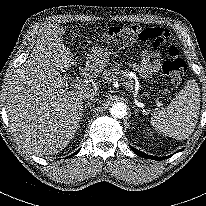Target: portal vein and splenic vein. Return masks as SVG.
<instances>
[{
	"label": "portal vein and splenic vein",
	"mask_w": 206,
	"mask_h": 206,
	"mask_svg": "<svg viewBox=\"0 0 206 206\" xmlns=\"http://www.w3.org/2000/svg\"><path fill=\"white\" fill-rule=\"evenodd\" d=\"M82 83H84V81L80 79L71 80V85L74 86V88H78Z\"/></svg>",
	"instance_id": "portal-vein-and-splenic-vein-1"
}]
</instances>
